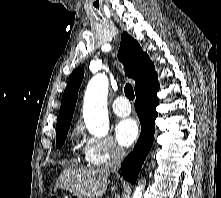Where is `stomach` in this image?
I'll return each instance as SVG.
<instances>
[{"mask_svg": "<svg viewBox=\"0 0 221 198\" xmlns=\"http://www.w3.org/2000/svg\"><path fill=\"white\" fill-rule=\"evenodd\" d=\"M71 198H84V197L77 196V195L74 194Z\"/></svg>", "mask_w": 221, "mask_h": 198, "instance_id": "1", "label": "stomach"}]
</instances>
